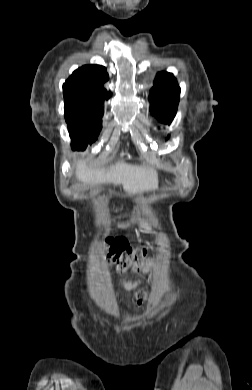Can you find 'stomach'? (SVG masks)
<instances>
[{"mask_svg": "<svg viewBox=\"0 0 252 390\" xmlns=\"http://www.w3.org/2000/svg\"><path fill=\"white\" fill-rule=\"evenodd\" d=\"M141 230L149 231L151 229V223L148 221H142L140 225Z\"/></svg>", "mask_w": 252, "mask_h": 390, "instance_id": "1", "label": "stomach"}]
</instances>
